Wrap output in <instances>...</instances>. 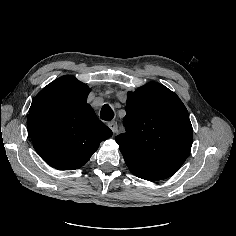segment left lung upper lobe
<instances>
[{
  "label": "left lung upper lobe",
  "mask_w": 236,
  "mask_h": 236,
  "mask_svg": "<svg viewBox=\"0 0 236 236\" xmlns=\"http://www.w3.org/2000/svg\"><path fill=\"white\" fill-rule=\"evenodd\" d=\"M126 132L116 137L129 170L155 181L173 175L186 160L193 142L188 111L167 87L150 82L129 92Z\"/></svg>",
  "instance_id": "left-lung-upper-lobe-1"
}]
</instances>
